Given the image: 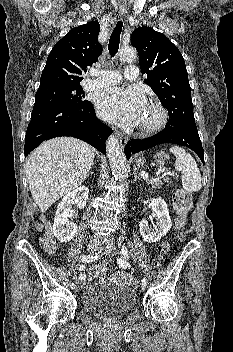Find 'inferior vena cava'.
<instances>
[{"mask_svg":"<svg viewBox=\"0 0 233 352\" xmlns=\"http://www.w3.org/2000/svg\"><path fill=\"white\" fill-rule=\"evenodd\" d=\"M99 239L100 237L98 235H94L90 242L91 244H94V243L96 244V243H99Z\"/></svg>","mask_w":233,"mask_h":352,"instance_id":"602c4592","label":"inferior vena cava"}]
</instances>
